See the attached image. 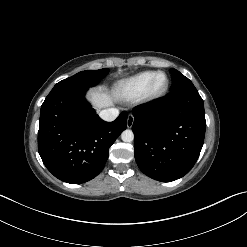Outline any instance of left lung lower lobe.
Returning a JSON list of instances; mask_svg holds the SVG:
<instances>
[{
  "mask_svg": "<svg viewBox=\"0 0 247 247\" xmlns=\"http://www.w3.org/2000/svg\"><path fill=\"white\" fill-rule=\"evenodd\" d=\"M135 159L150 178L170 182L186 175L204 143L206 120L198 91L169 93L133 110Z\"/></svg>",
  "mask_w": 247,
  "mask_h": 247,
  "instance_id": "left-lung-lower-lobe-1",
  "label": "left lung lower lobe"
}]
</instances>
